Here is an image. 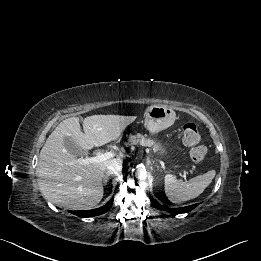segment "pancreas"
<instances>
[{
  "label": "pancreas",
  "instance_id": "obj_1",
  "mask_svg": "<svg viewBox=\"0 0 261 261\" xmlns=\"http://www.w3.org/2000/svg\"><path fill=\"white\" fill-rule=\"evenodd\" d=\"M126 145L127 146L128 145H142V146H146V147H152L154 151H157L155 142L141 134L130 135L129 141H128V143H126Z\"/></svg>",
  "mask_w": 261,
  "mask_h": 261
}]
</instances>
